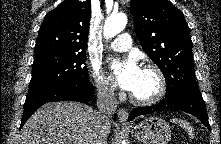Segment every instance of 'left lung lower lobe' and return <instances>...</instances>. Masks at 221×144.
<instances>
[{
	"mask_svg": "<svg viewBox=\"0 0 221 144\" xmlns=\"http://www.w3.org/2000/svg\"><path fill=\"white\" fill-rule=\"evenodd\" d=\"M162 109H176L190 113L196 116L210 130L208 115L203 98H197L190 95H174L165 97L155 105L135 108L131 111L128 121L137 116L150 114Z\"/></svg>",
	"mask_w": 221,
	"mask_h": 144,
	"instance_id": "obj_1",
	"label": "left lung lower lobe"
}]
</instances>
